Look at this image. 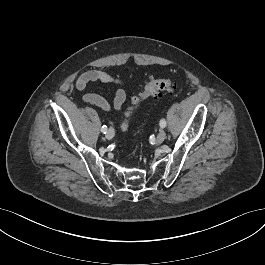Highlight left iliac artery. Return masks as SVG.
Segmentation results:
<instances>
[{
	"label": "left iliac artery",
	"mask_w": 265,
	"mask_h": 265,
	"mask_svg": "<svg viewBox=\"0 0 265 265\" xmlns=\"http://www.w3.org/2000/svg\"><path fill=\"white\" fill-rule=\"evenodd\" d=\"M160 127L161 128H165L166 127V121H165V119H161L160 120Z\"/></svg>",
	"instance_id": "obj_1"
}]
</instances>
